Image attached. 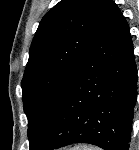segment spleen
<instances>
[{
  "label": "spleen",
  "instance_id": "spleen-1",
  "mask_svg": "<svg viewBox=\"0 0 139 150\" xmlns=\"http://www.w3.org/2000/svg\"><path fill=\"white\" fill-rule=\"evenodd\" d=\"M73 150H100V149L96 147L82 146V147H76Z\"/></svg>",
  "mask_w": 139,
  "mask_h": 150
}]
</instances>
